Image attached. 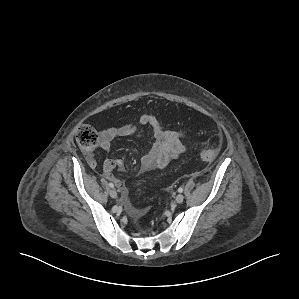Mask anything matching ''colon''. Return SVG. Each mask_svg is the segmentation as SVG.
Instances as JSON below:
<instances>
[{"mask_svg":"<svg viewBox=\"0 0 299 299\" xmlns=\"http://www.w3.org/2000/svg\"><path fill=\"white\" fill-rule=\"evenodd\" d=\"M78 145L86 152L93 151L99 142V137L95 129L89 125H82L76 132ZM220 151L217 144H212L200 151V157L203 160L211 161L215 159Z\"/></svg>","mask_w":299,"mask_h":299,"instance_id":"1","label":"colon"}]
</instances>
